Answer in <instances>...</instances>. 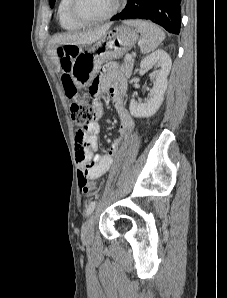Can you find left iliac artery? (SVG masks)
<instances>
[{
  "mask_svg": "<svg viewBox=\"0 0 227 298\" xmlns=\"http://www.w3.org/2000/svg\"><path fill=\"white\" fill-rule=\"evenodd\" d=\"M95 206H96V201H92L88 207H87V210H86V216H89L95 209Z\"/></svg>",
  "mask_w": 227,
  "mask_h": 298,
  "instance_id": "1",
  "label": "left iliac artery"
}]
</instances>
